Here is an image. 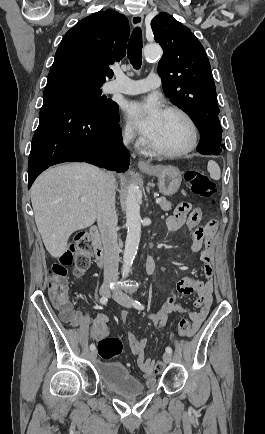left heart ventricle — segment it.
I'll return each instance as SVG.
<instances>
[{
  "label": "left heart ventricle",
  "instance_id": "left-heart-ventricle-1",
  "mask_svg": "<svg viewBox=\"0 0 265 434\" xmlns=\"http://www.w3.org/2000/svg\"><path fill=\"white\" fill-rule=\"evenodd\" d=\"M188 140L187 122L176 113H164L156 136L150 143L158 149L175 151L184 147Z\"/></svg>",
  "mask_w": 265,
  "mask_h": 434
}]
</instances>
